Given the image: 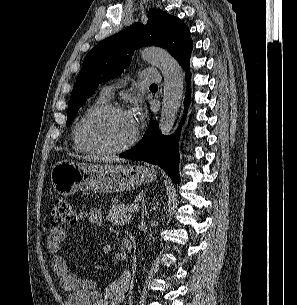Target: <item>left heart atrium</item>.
I'll use <instances>...</instances> for the list:
<instances>
[{"label":"left heart atrium","instance_id":"39dd6f15","mask_svg":"<svg viewBox=\"0 0 297 305\" xmlns=\"http://www.w3.org/2000/svg\"><path fill=\"white\" fill-rule=\"evenodd\" d=\"M127 114L134 127L137 128L141 122V110L139 106L133 107Z\"/></svg>","mask_w":297,"mask_h":305}]
</instances>
